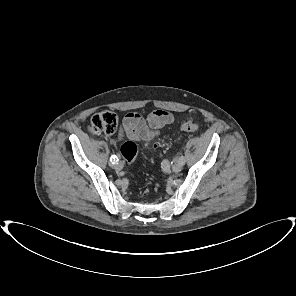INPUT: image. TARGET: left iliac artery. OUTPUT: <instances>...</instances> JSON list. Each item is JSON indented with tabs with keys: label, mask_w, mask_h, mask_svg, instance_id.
Segmentation results:
<instances>
[{
	"label": "left iliac artery",
	"mask_w": 296,
	"mask_h": 296,
	"mask_svg": "<svg viewBox=\"0 0 296 296\" xmlns=\"http://www.w3.org/2000/svg\"><path fill=\"white\" fill-rule=\"evenodd\" d=\"M178 161H180L182 164H184V163H185V158H184V156L181 155V156L179 157Z\"/></svg>",
	"instance_id": "1"
}]
</instances>
